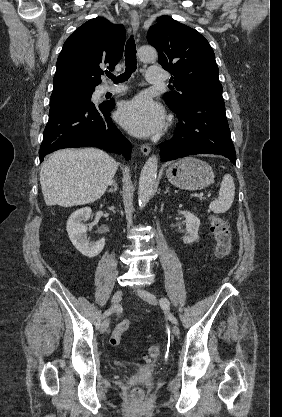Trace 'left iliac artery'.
Here are the masks:
<instances>
[{
    "instance_id": "obj_1",
    "label": "left iliac artery",
    "mask_w": 282,
    "mask_h": 417,
    "mask_svg": "<svg viewBox=\"0 0 282 417\" xmlns=\"http://www.w3.org/2000/svg\"><path fill=\"white\" fill-rule=\"evenodd\" d=\"M160 306L166 313H168L169 320L174 324H178L177 319L172 314H169L170 302L167 298L160 299Z\"/></svg>"
}]
</instances>
